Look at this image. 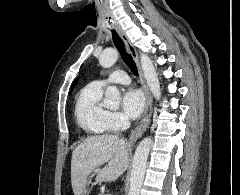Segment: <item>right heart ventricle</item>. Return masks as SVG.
<instances>
[{
  "instance_id": "1",
  "label": "right heart ventricle",
  "mask_w": 240,
  "mask_h": 195,
  "mask_svg": "<svg viewBox=\"0 0 240 195\" xmlns=\"http://www.w3.org/2000/svg\"><path fill=\"white\" fill-rule=\"evenodd\" d=\"M109 110L103 101V85L92 82L80 93L75 116L79 127L90 136H105L111 130Z\"/></svg>"
}]
</instances>
